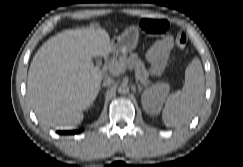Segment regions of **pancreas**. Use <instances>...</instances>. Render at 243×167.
<instances>
[{"mask_svg":"<svg viewBox=\"0 0 243 167\" xmlns=\"http://www.w3.org/2000/svg\"><path fill=\"white\" fill-rule=\"evenodd\" d=\"M115 66H124L129 69H134L136 77H140L144 85L149 83V73L145 68L144 62L138 58L136 53H131L129 57L126 55L120 56L110 64V69Z\"/></svg>","mask_w":243,"mask_h":167,"instance_id":"1","label":"pancreas"}]
</instances>
